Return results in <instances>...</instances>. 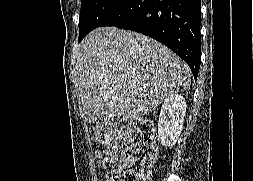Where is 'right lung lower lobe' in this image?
I'll return each instance as SVG.
<instances>
[{"label":"right lung lower lobe","instance_id":"obj_1","mask_svg":"<svg viewBox=\"0 0 253 181\" xmlns=\"http://www.w3.org/2000/svg\"><path fill=\"white\" fill-rule=\"evenodd\" d=\"M200 10L201 0H128L101 26H116L156 39L181 57L196 79L201 56Z\"/></svg>","mask_w":253,"mask_h":181}]
</instances>
